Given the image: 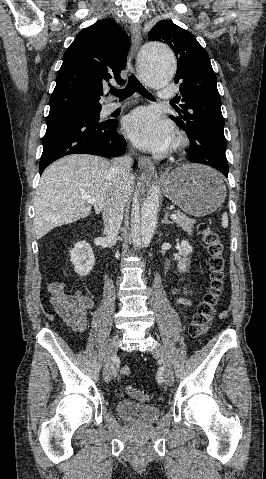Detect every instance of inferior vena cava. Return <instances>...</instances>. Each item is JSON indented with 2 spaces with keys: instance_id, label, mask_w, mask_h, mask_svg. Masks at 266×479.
I'll list each match as a JSON object with an SVG mask.
<instances>
[{
  "instance_id": "602c4592",
  "label": "inferior vena cava",
  "mask_w": 266,
  "mask_h": 479,
  "mask_svg": "<svg viewBox=\"0 0 266 479\" xmlns=\"http://www.w3.org/2000/svg\"><path fill=\"white\" fill-rule=\"evenodd\" d=\"M132 157L125 155L116 158L110 167L112 185L103 206L104 232L111 245L116 244L124 214L125 187L131 174Z\"/></svg>"
}]
</instances>
